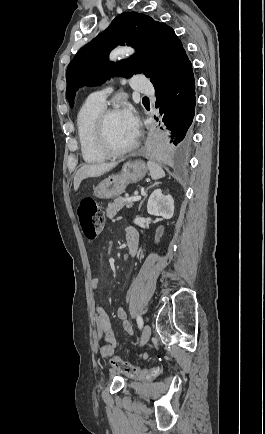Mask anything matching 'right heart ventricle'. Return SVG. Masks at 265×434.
<instances>
[{"label": "right heart ventricle", "instance_id": "right-heart-ventricle-1", "mask_svg": "<svg viewBox=\"0 0 265 434\" xmlns=\"http://www.w3.org/2000/svg\"><path fill=\"white\" fill-rule=\"evenodd\" d=\"M104 109L103 102L93 103L92 99L88 98L77 111L76 128L79 149L83 161L89 165H99L108 159L97 139V121Z\"/></svg>", "mask_w": 265, "mask_h": 434}]
</instances>
